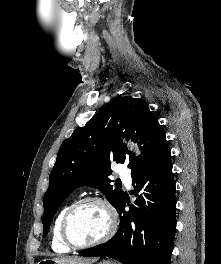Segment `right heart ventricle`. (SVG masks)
<instances>
[{
	"instance_id": "right-heart-ventricle-1",
	"label": "right heart ventricle",
	"mask_w": 221,
	"mask_h": 264,
	"mask_svg": "<svg viewBox=\"0 0 221 264\" xmlns=\"http://www.w3.org/2000/svg\"><path fill=\"white\" fill-rule=\"evenodd\" d=\"M68 207H69V204L65 205L60 210V212L58 213L54 221L53 228H52L51 246H52V249L58 253H66L70 251V248L67 245H65V243L63 242L61 238V232H60L62 218Z\"/></svg>"
}]
</instances>
